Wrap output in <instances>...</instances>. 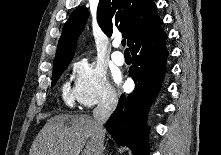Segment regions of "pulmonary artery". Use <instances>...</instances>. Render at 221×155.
<instances>
[{"label":"pulmonary artery","instance_id":"1","mask_svg":"<svg viewBox=\"0 0 221 155\" xmlns=\"http://www.w3.org/2000/svg\"><path fill=\"white\" fill-rule=\"evenodd\" d=\"M113 46L118 48L120 46V41H114ZM111 57L112 61L118 66H121L125 63L124 55L120 51H114Z\"/></svg>","mask_w":221,"mask_h":155}]
</instances>
